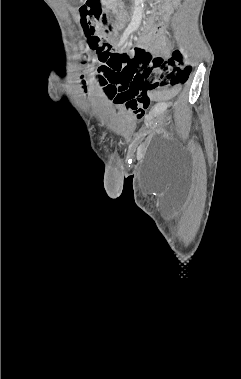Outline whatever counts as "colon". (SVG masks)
I'll list each match as a JSON object with an SVG mask.
<instances>
[{"instance_id":"5ec220e1","label":"colon","mask_w":241,"mask_h":379,"mask_svg":"<svg viewBox=\"0 0 241 379\" xmlns=\"http://www.w3.org/2000/svg\"><path fill=\"white\" fill-rule=\"evenodd\" d=\"M79 12L87 43L101 63L98 82L109 96L114 89H137L139 83H150L158 88L177 86L187 80L190 67L179 66L183 58L180 50H175L167 59L153 57L142 46L115 51L109 42V30L99 26L105 15L102 0H86ZM158 28L164 34V29Z\"/></svg>"}]
</instances>
